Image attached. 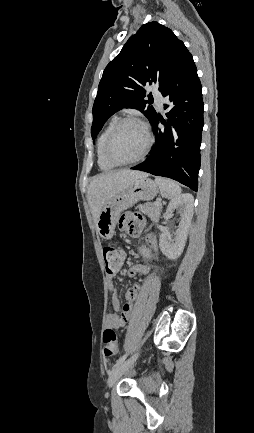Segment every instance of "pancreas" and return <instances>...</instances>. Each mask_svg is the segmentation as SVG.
<instances>
[{
	"mask_svg": "<svg viewBox=\"0 0 254 433\" xmlns=\"http://www.w3.org/2000/svg\"><path fill=\"white\" fill-rule=\"evenodd\" d=\"M140 212L146 214L152 220L157 221L159 219L160 213L162 211V205L156 206L153 203L147 202L145 204H140L137 206Z\"/></svg>",
	"mask_w": 254,
	"mask_h": 433,
	"instance_id": "1",
	"label": "pancreas"
}]
</instances>
